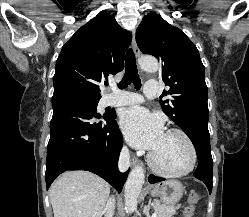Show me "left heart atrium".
Returning <instances> with one entry per match:
<instances>
[{
  "label": "left heart atrium",
  "mask_w": 249,
  "mask_h": 217,
  "mask_svg": "<svg viewBox=\"0 0 249 217\" xmlns=\"http://www.w3.org/2000/svg\"><path fill=\"white\" fill-rule=\"evenodd\" d=\"M120 125L129 144L138 149L155 150L165 134L162 120L143 107L125 110Z\"/></svg>",
  "instance_id": "39dd6f15"
}]
</instances>
